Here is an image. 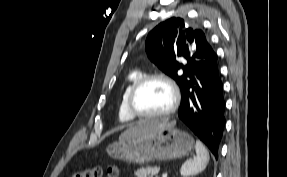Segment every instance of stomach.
<instances>
[{
  "label": "stomach",
  "mask_w": 287,
  "mask_h": 177,
  "mask_svg": "<svg viewBox=\"0 0 287 177\" xmlns=\"http://www.w3.org/2000/svg\"><path fill=\"white\" fill-rule=\"evenodd\" d=\"M193 149L194 139L190 134L167 126L154 132L119 138L106 151L114 159L142 164L183 158Z\"/></svg>",
  "instance_id": "stomach-1"
}]
</instances>
